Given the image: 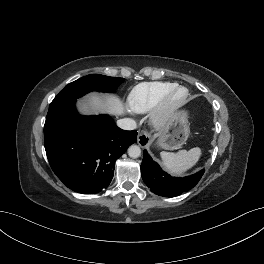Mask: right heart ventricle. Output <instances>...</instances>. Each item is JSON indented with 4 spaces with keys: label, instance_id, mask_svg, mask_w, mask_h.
I'll list each match as a JSON object with an SVG mask.
<instances>
[{
    "label": "right heart ventricle",
    "instance_id": "obj_1",
    "mask_svg": "<svg viewBox=\"0 0 264 264\" xmlns=\"http://www.w3.org/2000/svg\"><path fill=\"white\" fill-rule=\"evenodd\" d=\"M175 85L168 81L142 82L131 90L128 96L129 106L137 113L149 112L161 97Z\"/></svg>",
    "mask_w": 264,
    "mask_h": 264
}]
</instances>
